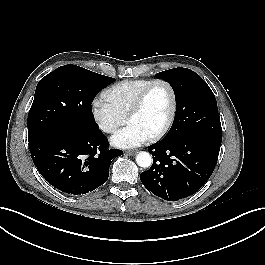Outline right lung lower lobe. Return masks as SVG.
Returning <instances> with one entry per match:
<instances>
[{
    "label": "right lung lower lobe",
    "mask_w": 265,
    "mask_h": 265,
    "mask_svg": "<svg viewBox=\"0 0 265 265\" xmlns=\"http://www.w3.org/2000/svg\"><path fill=\"white\" fill-rule=\"evenodd\" d=\"M98 129L67 130L29 139L32 159L40 174L62 192L79 195L105 183L113 158L121 150H108Z\"/></svg>",
    "instance_id": "1"
}]
</instances>
